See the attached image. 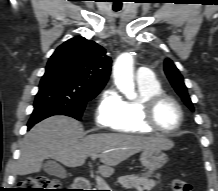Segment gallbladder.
<instances>
[{
    "instance_id": "obj_1",
    "label": "gallbladder",
    "mask_w": 218,
    "mask_h": 191,
    "mask_svg": "<svg viewBox=\"0 0 218 191\" xmlns=\"http://www.w3.org/2000/svg\"><path fill=\"white\" fill-rule=\"evenodd\" d=\"M43 170L49 174L56 177L64 178L66 176L64 168L54 160L46 161L43 164Z\"/></svg>"
}]
</instances>
